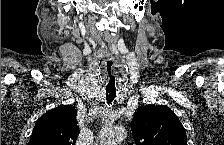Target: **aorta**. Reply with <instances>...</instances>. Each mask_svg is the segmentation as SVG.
<instances>
[{"label":"aorta","instance_id":"762f6f07","mask_svg":"<svg viewBox=\"0 0 224 145\" xmlns=\"http://www.w3.org/2000/svg\"><path fill=\"white\" fill-rule=\"evenodd\" d=\"M127 135L126 130L120 126H110L102 129L99 135L100 145H117Z\"/></svg>","mask_w":224,"mask_h":145}]
</instances>
